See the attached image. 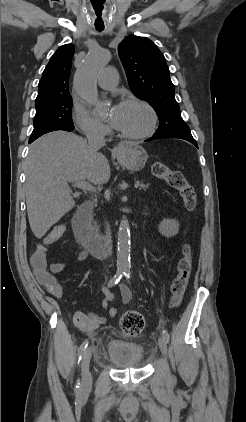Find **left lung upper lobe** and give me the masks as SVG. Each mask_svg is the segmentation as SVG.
Wrapping results in <instances>:
<instances>
[{"mask_svg": "<svg viewBox=\"0 0 246 422\" xmlns=\"http://www.w3.org/2000/svg\"><path fill=\"white\" fill-rule=\"evenodd\" d=\"M118 53L130 89L136 97L149 102L159 117L154 135H191L175 100L169 68L157 46L146 37L131 35L119 44Z\"/></svg>", "mask_w": 246, "mask_h": 422, "instance_id": "1", "label": "left lung upper lobe"}]
</instances>
